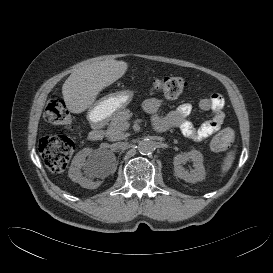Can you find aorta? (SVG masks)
I'll use <instances>...</instances> for the list:
<instances>
[{
	"mask_svg": "<svg viewBox=\"0 0 273 273\" xmlns=\"http://www.w3.org/2000/svg\"><path fill=\"white\" fill-rule=\"evenodd\" d=\"M137 150L140 154L149 155L155 150V143L150 139H143L138 143Z\"/></svg>",
	"mask_w": 273,
	"mask_h": 273,
	"instance_id": "aorta-1",
	"label": "aorta"
}]
</instances>
